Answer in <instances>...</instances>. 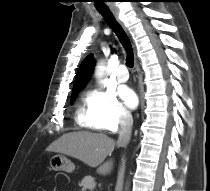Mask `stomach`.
<instances>
[{
    "mask_svg": "<svg viewBox=\"0 0 210 191\" xmlns=\"http://www.w3.org/2000/svg\"><path fill=\"white\" fill-rule=\"evenodd\" d=\"M50 167L54 171L73 172L75 165L63 155H55L50 159Z\"/></svg>",
    "mask_w": 210,
    "mask_h": 191,
    "instance_id": "0dacf381",
    "label": "stomach"
}]
</instances>
